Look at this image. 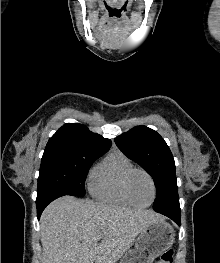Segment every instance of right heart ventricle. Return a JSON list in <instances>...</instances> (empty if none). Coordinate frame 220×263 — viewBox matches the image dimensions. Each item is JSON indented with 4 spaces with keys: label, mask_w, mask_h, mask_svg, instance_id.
<instances>
[{
    "label": "right heart ventricle",
    "mask_w": 220,
    "mask_h": 263,
    "mask_svg": "<svg viewBox=\"0 0 220 263\" xmlns=\"http://www.w3.org/2000/svg\"><path fill=\"white\" fill-rule=\"evenodd\" d=\"M134 168L123 153L110 152L90 173L88 189L91 196L103 203L131 206L124 193V180Z\"/></svg>",
    "instance_id": "right-heart-ventricle-1"
}]
</instances>
